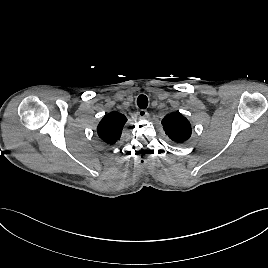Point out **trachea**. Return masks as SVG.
I'll use <instances>...</instances> for the list:
<instances>
[{"label":"trachea","mask_w":268,"mask_h":268,"mask_svg":"<svg viewBox=\"0 0 268 268\" xmlns=\"http://www.w3.org/2000/svg\"><path fill=\"white\" fill-rule=\"evenodd\" d=\"M137 105L140 109H146L148 106V98L146 95L141 94L137 98Z\"/></svg>","instance_id":"obj_1"}]
</instances>
